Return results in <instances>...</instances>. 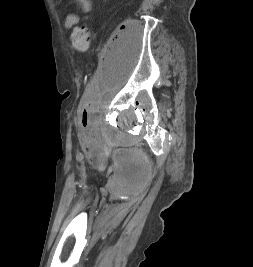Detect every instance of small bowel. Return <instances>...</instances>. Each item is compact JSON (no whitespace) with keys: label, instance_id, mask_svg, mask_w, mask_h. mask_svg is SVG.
Returning a JSON list of instances; mask_svg holds the SVG:
<instances>
[{"label":"small bowel","instance_id":"small-bowel-1","mask_svg":"<svg viewBox=\"0 0 253 267\" xmlns=\"http://www.w3.org/2000/svg\"><path fill=\"white\" fill-rule=\"evenodd\" d=\"M75 6L77 10L82 11L84 13H89L92 9L91 0H74ZM79 23V17L76 13H69L64 21L65 28H72Z\"/></svg>","mask_w":253,"mask_h":267}]
</instances>
